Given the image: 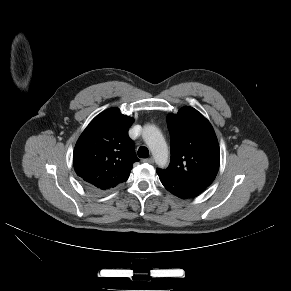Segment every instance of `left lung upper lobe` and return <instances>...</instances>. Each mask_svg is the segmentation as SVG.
<instances>
[{"mask_svg":"<svg viewBox=\"0 0 291 291\" xmlns=\"http://www.w3.org/2000/svg\"><path fill=\"white\" fill-rule=\"evenodd\" d=\"M171 135V160L167 169H157L173 180L205 190L215 179L220 149L209 121L196 109L185 106L167 117Z\"/></svg>","mask_w":291,"mask_h":291,"instance_id":"1","label":"left lung upper lobe"}]
</instances>
